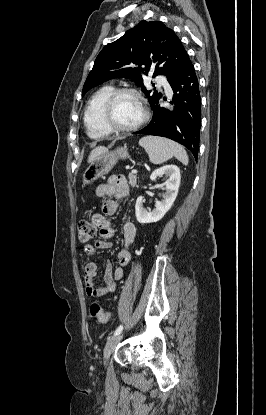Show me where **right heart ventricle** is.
Masks as SVG:
<instances>
[{"label": "right heart ventricle", "instance_id": "right-heart-ventricle-1", "mask_svg": "<svg viewBox=\"0 0 266 415\" xmlns=\"http://www.w3.org/2000/svg\"><path fill=\"white\" fill-rule=\"evenodd\" d=\"M114 90L111 85L103 86L92 95L85 108L84 123L87 134L92 139H103L112 133L103 120V107Z\"/></svg>", "mask_w": 266, "mask_h": 415}]
</instances>
